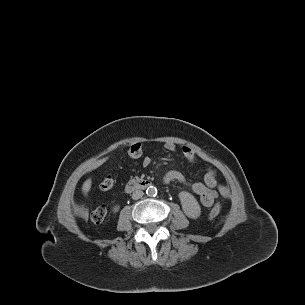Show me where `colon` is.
Masks as SVG:
<instances>
[{
	"instance_id": "colon-1",
	"label": "colon",
	"mask_w": 305,
	"mask_h": 305,
	"mask_svg": "<svg viewBox=\"0 0 305 305\" xmlns=\"http://www.w3.org/2000/svg\"><path fill=\"white\" fill-rule=\"evenodd\" d=\"M144 153V145L141 141H136L130 144L128 148V155L133 159H139L143 156ZM115 180L111 175L106 176L101 182V188L103 190H110L114 187ZM222 210V205L220 203H216L210 211V218H216ZM107 210L104 206H98L91 211V220L95 224H100L105 219Z\"/></svg>"
}]
</instances>
